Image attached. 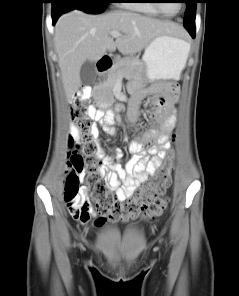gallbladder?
I'll return each mask as SVG.
<instances>
[{
	"mask_svg": "<svg viewBox=\"0 0 239 296\" xmlns=\"http://www.w3.org/2000/svg\"><path fill=\"white\" fill-rule=\"evenodd\" d=\"M96 75L95 64L92 61H85L80 69V77L82 83L91 84Z\"/></svg>",
	"mask_w": 239,
	"mask_h": 296,
	"instance_id": "1",
	"label": "gallbladder"
}]
</instances>
